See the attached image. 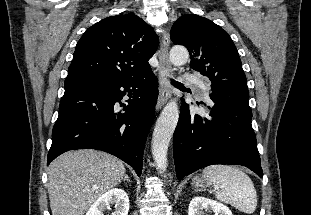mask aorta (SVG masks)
Returning a JSON list of instances; mask_svg holds the SVG:
<instances>
[{
    "mask_svg": "<svg viewBox=\"0 0 311 215\" xmlns=\"http://www.w3.org/2000/svg\"><path fill=\"white\" fill-rule=\"evenodd\" d=\"M188 50L183 46H174L169 53V60L174 66L187 62ZM179 119V109L176 100L169 101L162 110L152 135V155L160 173L167 168V151L170 140Z\"/></svg>",
    "mask_w": 311,
    "mask_h": 215,
    "instance_id": "1",
    "label": "aorta"
}]
</instances>
